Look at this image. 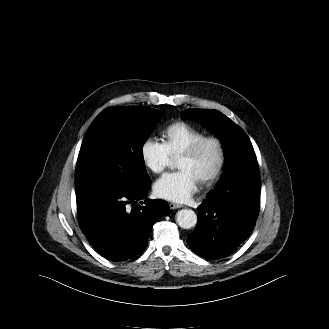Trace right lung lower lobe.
<instances>
[{
    "label": "right lung lower lobe",
    "instance_id": "obj_1",
    "mask_svg": "<svg viewBox=\"0 0 329 329\" xmlns=\"http://www.w3.org/2000/svg\"><path fill=\"white\" fill-rule=\"evenodd\" d=\"M150 184L138 191L97 184L76 193L81 230L106 259L124 261L141 253L153 224L169 211L167 202L150 199L129 211L128 204L147 197Z\"/></svg>",
    "mask_w": 329,
    "mask_h": 329
}]
</instances>
